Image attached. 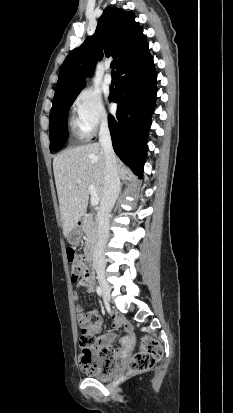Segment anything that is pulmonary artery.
Instances as JSON below:
<instances>
[{"label": "pulmonary artery", "mask_w": 233, "mask_h": 413, "mask_svg": "<svg viewBox=\"0 0 233 413\" xmlns=\"http://www.w3.org/2000/svg\"><path fill=\"white\" fill-rule=\"evenodd\" d=\"M104 82L106 83V84H111L112 83V76H111V74L110 73H106L105 74V76H104Z\"/></svg>", "instance_id": "pulmonary-artery-1"}]
</instances>
